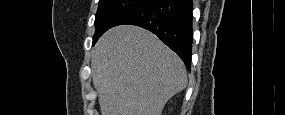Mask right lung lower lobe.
I'll list each match as a JSON object with an SVG mask.
<instances>
[{
    "mask_svg": "<svg viewBox=\"0 0 285 115\" xmlns=\"http://www.w3.org/2000/svg\"><path fill=\"white\" fill-rule=\"evenodd\" d=\"M192 10L191 0H151L124 16L115 26L131 24L151 31L175 51L190 70Z\"/></svg>",
    "mask_w": 285,
    "mask_h": 115,
    "instance_id": "98d812e1",
    "label": "right lung lower lobe"
}]
</instances>
